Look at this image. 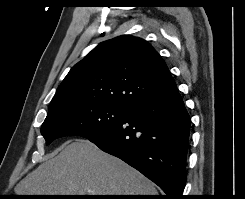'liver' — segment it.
Segmentation results:
<instances>
[{
  "label": "liver",
  "instance_id": "6515ba94",
  "mask_svg": "<svg viewBox=\"0 0 245 199\" xmlns=\"http://www.w3.org/2000/svg\"><path fill=\"white\" fill-rule=\"evenodd\" d=\"M17 195H157L140 172L87 139L69 142L15 187Z\"/></svg>",
  "mask_w": 245,
  "mask_h": 199
}]
</instances>
